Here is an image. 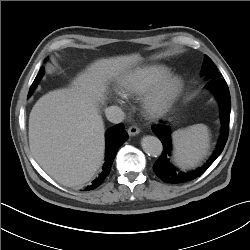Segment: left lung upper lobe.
Segmentation results:
<instances>
[{
    "label": "left lung upper lobe",
    "mask_w": 250,
    "mask_h": 250,
    "mask_svg": "<svg viewBox=\"0 0 250 250\" xmlns=\"http://www.w3.org/2000/svg\"><path fill=\"white\" fill-rule=\"evenodd\" d=\"M202 71L206 75V78L210 80L221 77V74L217 71V67L213 61L206 55L204 56Z\"/></svg>",
    "instance_id": "left-lung-upper-lobe-1"
}]
</instances>
